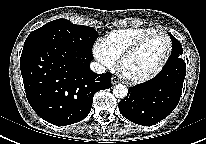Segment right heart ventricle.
<instances>
[{"label":"right heart ventricle","mask_w":206,"mask_h":144,"mask_svg":"<svg viewBox=\"0 0 206 144\" xmlns=\"http://www.w3.org/2000/svg\"><path fill=\"white\" fill-rule=\"evenodd\" d=\"M154 32H156L155 29L147 27L120 29L109 33L103 39V43L108 52L117 61L131 45Z\"/></svg>","instance_id":"right-heart-ventricle-1"}]
</instances>
